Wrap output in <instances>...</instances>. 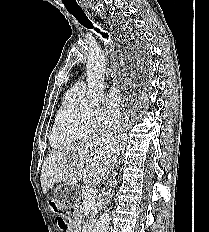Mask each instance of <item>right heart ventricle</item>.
<instances>
[{"mask_svg": "<svg viewBox=\"0 0 209 232\" xmlns=\"http://www.w3.org/2000/svg\"><path fill=\"white\" fill-rule=\"evenodd\" d=\"M83 94L74 88L65 94L50 134V144L53 148L70 147L94 136L96 124L79 106Z\"/></svg>", "mask_w": 209, "mask_h": 232, "instance_id": "right-heart-ventricle-1", "label": "right heart ventricle"}]
</instances>
